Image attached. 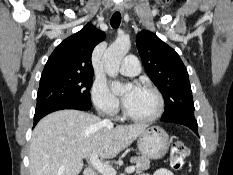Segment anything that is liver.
Segmentation results:
<instances>
[{
    "instance_id": "1",
    "label": "liver",
    "mask_w": 233,
    "mask_h": 175,
    "mask_svg": "<svg viewBox=\"0 0 233 175\" xmlns=\"http://www.w3.org/2000/svg\"><path fill=\"white\" fill-rule=\"evenodd\" d=\"M147 125L104 123L78 110L53 112L36 125L30 142V175H78L83 159L94 151L114 158L140 136Z\"/></svg>"
}]
</instances>
